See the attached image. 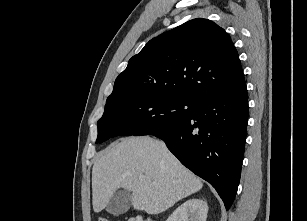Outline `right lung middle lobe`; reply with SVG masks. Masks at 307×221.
I'll use <instances>...</instances> for the list:
<instances>
[{
    "instance_id": "1",
    "label": "right lung middle lobe",
    "mask_w": 307,
    "mask_h": 221,
    "mask_svg": "<svg viewBox=\"0 0 307 221\" xmlns=\"http://www.w3.org/2000/svg\"><path fill=\"white\" fill-rule=\"evenodd\" d=\"M195 102L166 94L128 96L105 105L96 143L119 135H150L188 118Z\"/></svg>"
}]
</instances>
